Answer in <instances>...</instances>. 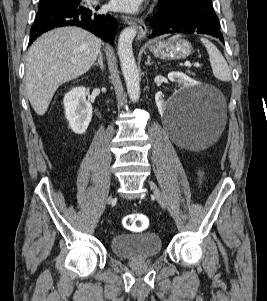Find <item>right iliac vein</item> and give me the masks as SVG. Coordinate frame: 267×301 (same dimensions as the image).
I'll list each match as a JSON object with an SVG mask.
<instances>
[{
    "instance_id": "obj_1",
    "label": "right iliac vein",
    "mask_w": 267,
    "mask_h": 301,
    "mask_svg": "<svg viewBox=\"0 0 267 301\" xmlns=\"http://www.w3.org/2000/svg\"><path fill=\"white\" fill-rule=\"evenodd\" d=\"M111 201H112V197H109V198L107 199V202L110 203Z\"/></svg>"
}]
</instances>
